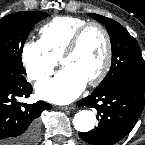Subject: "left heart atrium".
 <instances>
[{
	"instance_id": "obj_1",
	"label": "left heart atrium",
	"mask_w": 145,
	"mask_h": 145,
	"mask_svg": "<svg viewBox=\"0 0 145 145\" xmlns=\"http://www.w3.org/2000/svg\"><path fill=\"white\" fill-rule=\"evenodd\" d=\"M87 81L71 67H63L54 77L46 78L36 84V92L44 100L67 104L77 98L84 90Z\"/></svg>"
}]
</instances>
